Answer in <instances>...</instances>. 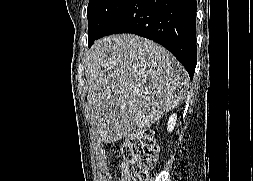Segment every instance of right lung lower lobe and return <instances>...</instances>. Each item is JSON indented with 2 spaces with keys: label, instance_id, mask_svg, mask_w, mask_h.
I'll return each mask as SVG.
<instances>
[{
  "label": "right lung lower lobe",
  "instance_id": "1",
  "mask_svg": "<svg viewBox=\"0 0 253 181\" xmlns=\"http://www.w3.org/2000/svg\"><path fill=\"white\" fill-rule=\"evenodd\" d=\"M116 33H132L161 44L193 78L197 63L196 0H130L101 32L88 35L89 46Z\"/></svg>",
  "mask_w": 253,
  "mask_h": 181
}]
</instances>
